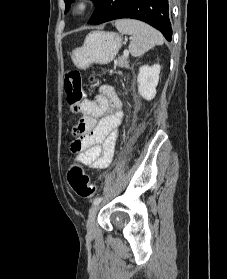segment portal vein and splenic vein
<instances>
[{
	"label": "portal vein and splenic vein",
	"mask_w": 227,
	"mask_h": 279,
	"mask_svg": "<svg viewBox=\"0 0 227 279\" xmlns=\"http://www.w3.org/2000/svg\"><path fill=\"white\" fill-rule=\"evenodd\" d=\"M123 56H124L125 58H127V57L129 56V51L125 49V50L123 51Z\"/></svg>",
	"instance_id": "1"
}]
</instances>
